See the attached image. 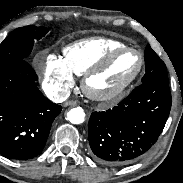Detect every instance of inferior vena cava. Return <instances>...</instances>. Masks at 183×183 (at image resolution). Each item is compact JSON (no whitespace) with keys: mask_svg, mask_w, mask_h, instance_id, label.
<instances>
[{"mask_svg":"<svg viewBox=\"0 0 183 183\" xmlns=\"http://www.w3.org/2000/svg\"><path fill=\"white\" fill-rule=\"evenodd\" d=\"M46 95L51 101L61 103L69 97L70 92L68 90L47 91Z\"/></svg>","mask_w":183,"mask_h":183,"instance_id":"inferior-vena-cava-1","label":"inferior vena cava"}]
</instances>
